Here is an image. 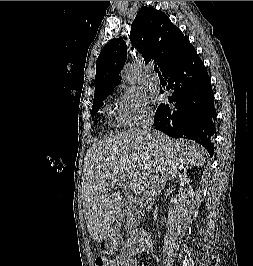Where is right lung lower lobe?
Masks as SVG:
<instances>
[{"label":"right lung lower lobe","instance_id":"1","mask_svg":"<svg viewBox=\"0 0 253 266\" xmlns=\"http://www.w3.org/2000/svg\"><path fill=\"white\" fill-rule=\"evenodd\" d=\"M168 79L169 104H160L154 126L170 137L196 141L213 154L214 93L210 77L194 47L179 61L162 71ZM163 93V91H161Z\"/></svg>","mask_w":253,"mask_h":266}]
</instances>
